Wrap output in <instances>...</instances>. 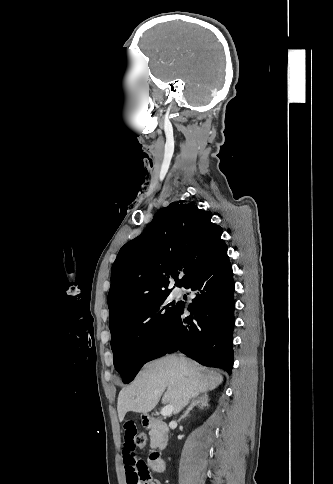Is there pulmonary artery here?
Returning a JSON list of instances; mask_svg holds the SVG:
<instances>
[{
	"mask_svg": "<svg viewBox=\"0 0 333 484\" xmlns=\"http://www.w3.org/2000/svg\"><path fill=\"white\" fill-rule=\"evenodd\" d=\"M179 291H180V289H179V288H177V289H176V292H179Z\"/></svg>",
	"mask_w": 333,
	"mask_h": 484,
	"instance_id": "obj_1",
	"label": "pulmonary artery"
}]
</instances>
